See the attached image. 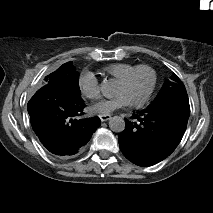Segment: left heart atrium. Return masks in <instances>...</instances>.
Wrapping results in <instances>:
<instances>
[{
  "mask_svg": "<svg viewBox=\"0 0 213 213\" xmlns=\"http://www.w3.org/2000/svg\"><path fill=\"white\" fill-rule=\"evenodd\" d=\"M128 105V99L122 95L100 100L92 106V110L100 114H110Z\"/></svg>",
  "mask_w": 213,
  "mask_h": 213,
  "instance_id": "39dd6f15",
  "label": "left heart atrium"
}]
</instances>
